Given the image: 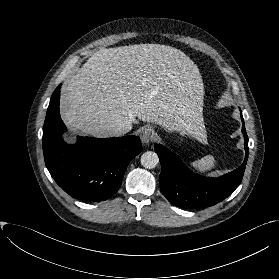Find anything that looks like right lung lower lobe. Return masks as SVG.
<instances>
[{"label": "right lung lower lobe", "mask_w": 279, "mask_h": 279, "mask_svg": "<svg viewBox=\"0 0 279 279\" xmlns=\"http://www.w3.org/2000/svg\"><path fill=\"white\" fill-rule=\"evenodd\" d=\"M60 87L52 94L43 126L46 167L71 197L105 201L119 190L128 164L142 151L140 138L78 137L74 145L65 143L61 137L66 127L59 114Z\"/></svg>", "instance_id": "obj_1"}]
</instances>
